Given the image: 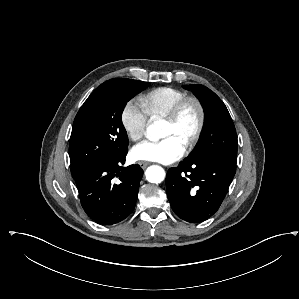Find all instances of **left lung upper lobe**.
Masks as SVG:
<instances>
[{
	"mask_svg": "<svg viewBox=\"0 0 299 299\" xmlns=\"http://www.w3.org/2000/svg\"><path fill=\"white\" fill-rule=\"evenodd\" d=\"M202 104L205 113L203 137L185 161H198L209 157L237 161V135L231 116L221 99L203 85H185Z\"/></svg>",
	"mask_w": 299,
	"mask_h": 299,
	"instance_id": "1",
	"label": "left lung upper lobe"
}]
</instances>
